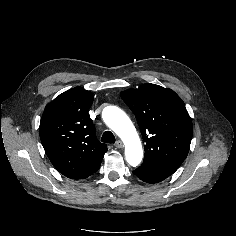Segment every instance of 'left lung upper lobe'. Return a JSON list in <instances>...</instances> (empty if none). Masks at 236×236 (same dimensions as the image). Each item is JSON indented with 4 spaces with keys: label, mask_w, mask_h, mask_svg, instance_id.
I'll return each instance as SVG.
<instances>
[{
    "label": "left lung upper lobe",
    "mask_w": 236,
    "mask_h": 236,
    "mask_svg": "<svg viewBox=\"0 0 236 236\" xmlns=\"http://www.w3.org/2000/svg\"><path fill=\"white\" fill-rule=\"evenodd\" d=\"M120 95L135 114L146 142L143 163L172 175L187 157L193 135L184 102L173 90L150 83Z\"/></svg>",
    "instance_id": "1"
}]
</instances>
